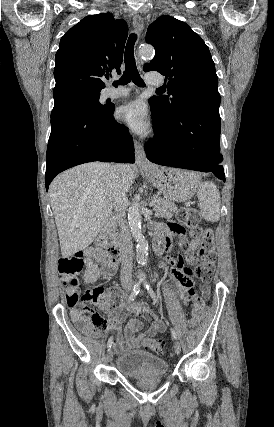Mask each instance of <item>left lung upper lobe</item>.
I'll return each mask as SVG.
<instances>
[{
    "label": "left lung upper lobe",
    "mask_w": 274,
    "mask_h": 427,
    "mask_svg": "<svg viewBox=\"0 0 274 427\" xmlns=\"http://www.w3.org/2000/svg\"><path fill=\"white\" fill-rule=\"evenodd\" d=\"M146 42L154 46L155 56L144 70L166 76L168 96L150 98L160 109L168 114L191 106L219 111L214 62L198 34L185 22L163 15L149 26Z\"/></svg>",
    "instance_id": "1"
}]
</instances>
